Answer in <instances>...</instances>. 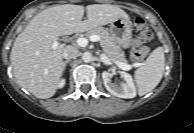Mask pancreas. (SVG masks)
Listing matches in <instances>:
<instances>
[{
  "label": "pancreas",
  "mask_w": 194,
  "mask_h": 133,
  "mask_svg": "<svg viewBox=\"0 0 194 133\" xmlns=\"http://www.w3.org/2000/svg\"><path fill=\"white\" fill-rule=\"evenodd\" d=\"M92 35L100 36V45L103 48L104 53L114 62L126 64L127 60L122 48L117 45L114 38L110 33L103 27H97L91 29L87 32L86 36L90 37Z\"/></svg>",
  "instance_id": "1"
}]
</instances>
